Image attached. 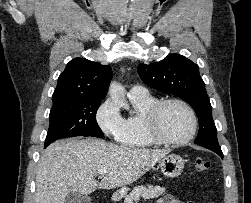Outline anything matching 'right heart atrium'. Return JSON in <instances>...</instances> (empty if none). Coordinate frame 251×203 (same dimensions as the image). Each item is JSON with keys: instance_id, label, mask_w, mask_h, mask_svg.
<instances>
[{"instance_id": "obj_1", "label": "right heart atrium", "mask_w": 251, "mask_h": 203, "mask_svg": "<svg viewBox=\"0 0 251 203\" xmlns=\"http://www.w3.org/2000/svg\"><path fill=\"white\" fill-rule=\"evenodd\" d=\"M124 120L117 104L112 99H107L96 112L98 126L109 137L119 136L124 128Z\"/></svg>"}]
</instances>
